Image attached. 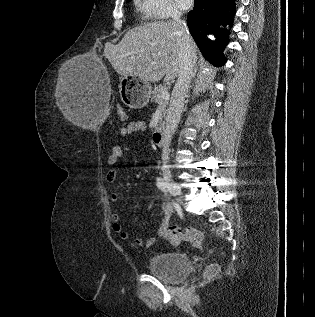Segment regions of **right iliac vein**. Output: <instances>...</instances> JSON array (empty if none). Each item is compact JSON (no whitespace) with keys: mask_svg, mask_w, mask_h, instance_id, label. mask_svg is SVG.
Listing matches in <instances>:
<instances>
[{"mask_svg":"<svg viewBox=\"0 0 315 317\" xmlns=\"http://www.w3.org/2000/svg\"><path fill=\"white\" fill-rule=\"evenodd\" d=\"M164 180L169 192L180 201L182 198V191L180 186L172 180L171 175L167 172L164 173Z\"/></svg>","mask_w":315,"mask_h":317,"instance_id":"obj_1","label":"right iliac vein"}]
</instances>
